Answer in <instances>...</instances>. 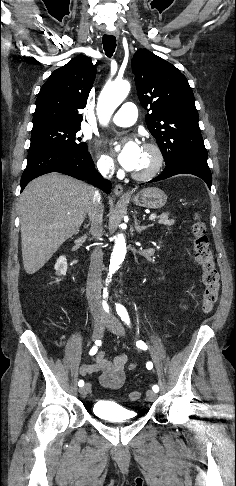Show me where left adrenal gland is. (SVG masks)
<instances>
[{"label":"left adrenal gland","mask_w":236,"mask_h":486,"mask_svg":"<svg viewBox=\"0 0 236 486\" xmlns=\"http://www.w3.org/2000/svg\"><path fill=\"white\" fill-rule=\"evenodd\" d=\"M151 226H152V224H149V225H146V226H140V225L138 224L137 219L135 218V229H136V231H137L138 233H141L143 230H145V229H147V228H149V227H151Z\"/></svg>","instance_id":"a2214340"}]
</instances>
